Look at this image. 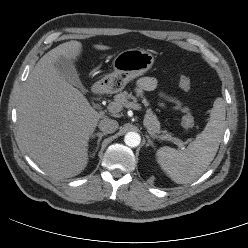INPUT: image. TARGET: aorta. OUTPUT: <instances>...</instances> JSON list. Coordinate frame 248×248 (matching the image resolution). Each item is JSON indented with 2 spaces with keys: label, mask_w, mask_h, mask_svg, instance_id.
<instances>
[{
  "label": "aorta",
  "mask_w": 248,
  "mask_h": 248,
  "mask_svg": "<svg viewBox=\"0 0 248 248\" xmlns=\"http://www.w3.org/2000/svg\"><path fill=\"white\" fill-rule=\"evenodd\" d=\"M124 142L129 147H137L141 142V137L136 132H128L125 135Z\"/></svg>",
  "instance_id": "1"
}]
</instances>
